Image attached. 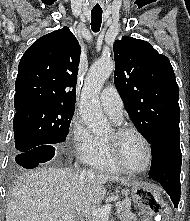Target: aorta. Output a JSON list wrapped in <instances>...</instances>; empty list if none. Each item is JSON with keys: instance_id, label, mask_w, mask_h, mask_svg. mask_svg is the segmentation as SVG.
I'll list each match as a JSON object with an SVG mask.
<instances>
[{"instance_id": "obj_1", "label": "aorta", "mask_w": 190, "mask_h": 221, "mask_svg": "<svg viewBox=\"0 0 190 221\" xmlns=\"http://www.w3.org/2000/svg\"><path fill=\"white\" fill-rule=\"evenodd\" d=\"M114 68L115 64L111 59L95 62L88 71L82 90L80 113L88 129L96 135H103L110 129L100 106L99 95Z\"/></svg>"}]
</instances>
